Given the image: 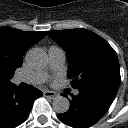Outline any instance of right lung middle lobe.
<instances>
[{"instance_id": "dd1d6c3e", "label": "right lung middle lobe", "mask_w": 128, "mask_h": 128, "mask_svg": "<svg viewBox=\"0 0 128 128\" xmlns=\"http://www.w3.org/2000/svg\"><path fill=\"white\" fill-rule=\"evenodd\" d=\"M13 77V75L6 76L0 80V84L8 83L10 82V79Z\"/></svg>"}]
</instances>
